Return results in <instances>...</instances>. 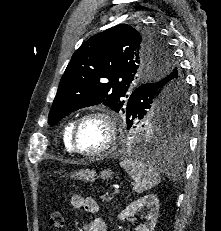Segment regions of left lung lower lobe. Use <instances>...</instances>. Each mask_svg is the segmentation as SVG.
Instances as JSON below:
<instances>
[{"label":"left lung lower lobe","instance_id":"1","mask_svg":"<svg viewBox=\"0 0 221 231\" xmlns=\"http://www.w3.org/2000/svg\"><path fill=\"white\" fill-rule=\"evenodd\" d=\"M174 75V74H173ZM170 76L169 78L173 77ZM162 84L161 83H149L145 87L137 88L133 91V93L130 95L128 102H131V105H137L139 104V100H142V96L146 92H150L154 89L160 88ZM183 87L185 86L184 83L181 84ZM176 85H172L170 88H174ZM186 91V87H185ZM187 94V91H186ZM188 99V97H187ZM175 101L174 106L178 107L179 105V99H174ZM135 115H133V112L130 113V117L127 118V129H130L134 122L136 121ZM139 143L145 146V149L142 151H139L141 155L146 156L148 152L151 150L159 149L160 151L164 152L165 155H167V161L168 163H172L178 159H180L183 154L186 151L187 147V141L185 138L184 133L179 134H171V135H160V133L155 132L154 134L149 133H142L139 134Z\"/></svg>","mask_w":221,"mask_h":231}]
</instances>
